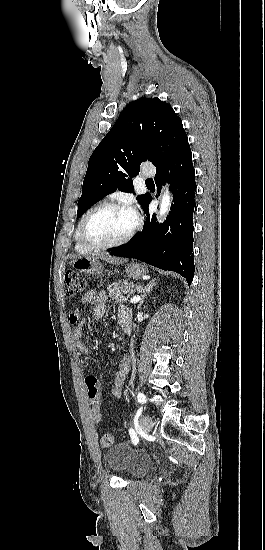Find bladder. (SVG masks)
<instances>
[{
    "mask_svg": "<svg viewBox=\"0 0 265 550\" xmlns=\"http://www.w3.org/2000/svg\"><path fill=\"white\" fill-rule=\"evenodd\" d=\"M104 459L111 470L132 478L145 475L150 467L148 455L125 444H116L109 448Z\"/></svg>",
    "mask_w": 265,
    "mask_h": 550,
    "instance_id": "1",
    "label": "bladder"
}]
</instances>
